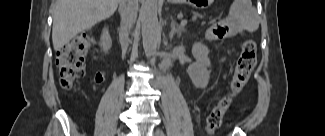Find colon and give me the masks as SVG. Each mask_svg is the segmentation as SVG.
<instances>
[{
  "label": "colon",
  "mask_w": 325,
  "mask_h": 136,
  "mask_svg": "<svg viewBox=\"0 0 325 136\" xmlns=\"http://www.w3.org/2000/svg\"><path fill=\"white\" fill-rule=\"evenodd\" d=\"M94 43L95 39L92 35L80 34L60 50L56 64L59 71V82L63 89H69L84 75L85 59L93 49ZM256 57L257 46L255 41L252 39L245 40L230 83V90L217 102L207 117L205 129L208 134H212L221 125L234 97L246 85L255 66Z\"/></svg>",
  "instance_id": "5ec220e1"
}]
</instances>
